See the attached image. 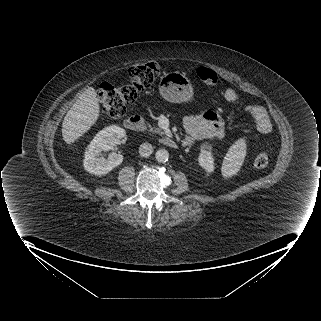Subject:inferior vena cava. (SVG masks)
I'll return each mask as SVG.
<instances>
[{
    "label": "inferior vena cava",
    "mask_w": 321,
    "mask_h": 321,
    "mask_svg": "<svg viewBox=\"0 0 321 321\" xmlns=\"http://www.w3.org/2000/svg\"><path fill=\"white\" fill-rule=\"evenodd\" d=\"M153 152V147L150 143H142L139 147V154L142 157H149Z\"/></svg>",
    "instance_id": "inferior-vena-cava-1"
}]
</instances>
